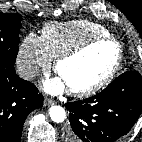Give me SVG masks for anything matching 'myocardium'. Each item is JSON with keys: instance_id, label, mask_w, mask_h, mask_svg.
Returning <instances> with one entry per match:
<instances>
[{"instance_id": "myocardium-1", "label": "myocardium", "mask_w": 142, "mask_h": 142, "mask_svg": "<svg viewBox=\"0 0 142 142\" xmlns=\"http://www.w3.org/2000/svg\"><path fill=\"white\" fill-rule=\"evenodd\" d=\"M100 43H112L117 47L118 55L116 61L112 68L97 82L85 87L83 89H69L70 94L77 96V97H88L91 95L96 94L100 90H102L110 81L115 77L118 73L122 61H123V48L121 43L111 36H100L89 39L80 45L76 46L75 48L61 54L59 57L56 58L54 64V70L58 73L60 66L71 59H74L86 51H88L93 46L100 44Z\"/></svg>"}]
</instances>
